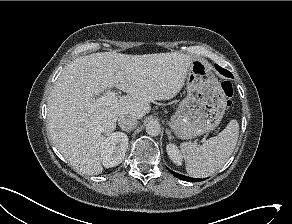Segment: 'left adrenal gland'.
Returning <instances> with one entry per match:
<instances>
[{
	"label": "left adrenal gland",
	"instance_id": "obj_1",
	"mask_svg": "<svg viewBox=\"0 0 292 224\" xmlns=\"http://www.w3.org/2000/svg\"><path fill=\"white\" fill-rule=\"evenodd\" d=\"M166 133H167L169 139L173 138L171 135V132L169 131L168 128H166Z\"/></svg>",
	"mask_w": 292,
	"mask_h": 224
}]
</instances>
